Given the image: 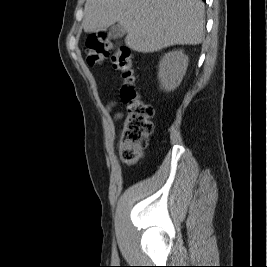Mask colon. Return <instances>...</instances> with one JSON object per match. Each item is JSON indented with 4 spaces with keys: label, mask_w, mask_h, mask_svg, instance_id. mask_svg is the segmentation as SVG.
I'll list each match as a JSON object with an SVG mask.
<instances>
[{
    "label": "colon",
    "mask_w": 267,
    "mask_h": 267,
    "mask_svg": "<svg viewBox=\"0 0 267 267\" xmlns=\"http://www.w3.org/2000/svg\"><path fill=\"white\" fill-rule=\"evenodd\" d=\"M86 47L89 65L100 64L112 54L113 67L123 81L120 96L126 109L118 149L121 160L133 165L139 161L153 131L154 109L137 92L131 50L104 33L90 35Z\"/></svg>",
    "instance_id": "5ec220e1"
}]
</instances>
